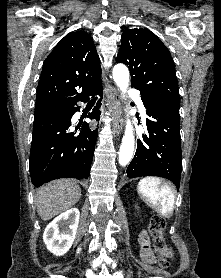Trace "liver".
<instances>
[{"label":"liver","instance_id":"liver-1","mask_svg":"<svg viewBox=\"0 0 221 278\" xmlns=\"http://www.w3.org/2000/svg\"><path fill=\"white\" fill-rule=\"evenodd\" d=\"M81 197V188L73 180L59 179L39 189L35 196L37 213L43 221L73 207Z\"/></svg>","mask_w":221,"mask_h":278}]
</instances>
